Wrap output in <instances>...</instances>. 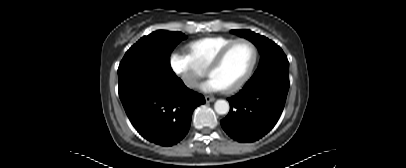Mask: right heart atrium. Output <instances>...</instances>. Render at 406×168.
Masks as SVG:
<instances>
[{
	"mask_svg": "<svg viewBox=\"0 0 406 168\" xmlns=\"http://www.w3.org/2000/svg\"><path fill=\"white\" fill-rule=\"evenodd\" d=\"M169 61L172 70L187 87H194L205 74V70L184 51L172 52Z\"/></svg>",
	"mask_w": 406,
	"mask_h": 168,
	"instance_id": "obj_1",
	"label": "right heart atrium"
}]
</instances>
